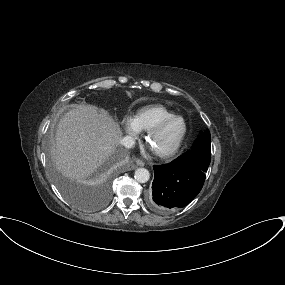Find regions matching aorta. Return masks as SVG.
I'll list each match as a JSON object with an SVG mask.
<instances>
[{
    "label": "aorta",
    "mask_w": 285,
    "mask_h": 285,
    "mask_svg": "<svg viewBox=\"0 0 285 285\" xmlns=\"http://www.w3.org/2000/svg\"><path fill=\"white\" fill-rule=\"evenodd\" d=\"M134 177L139 183H146L150 179V173L145 168H138L135 170Z\"/></svg>",
    "instance_id": "1"
}]
</instances>
